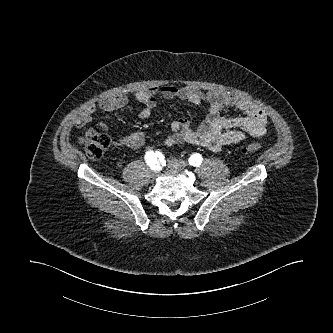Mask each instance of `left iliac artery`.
<instances>
[{"label": "left iliac artery", "mask_w": 333, "mask_h": 333, "mask_svg": "<svg viewBox=\"0 0 333 333\" xmlns=\"http://www.w3.org/2000/svg\"><path fill=\"white\" fill-rule=\"evenodd\" d=\"M202 160V156L196 153L189 157L188 162L190 165L198 167L202 163Z\"/></svg>", "instance_id": "1"}]
</instances>
